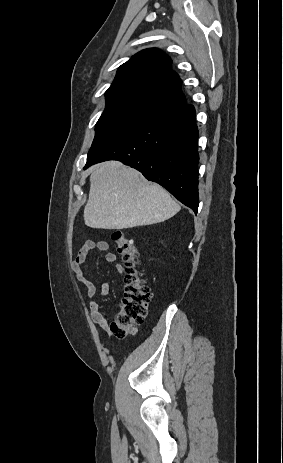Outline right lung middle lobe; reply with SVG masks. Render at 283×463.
<instances>
[{"label": "right lung middle lobe", "instance_id": "dd1d6c3e", "mask_svg": "<svg viewBox=\"0 0 283 463\" xmlns=\"http://www.w3.org/2000/svg\"><path fill=\"white\" fill-rule=\"evenodd\" d=\"M106 109L96 124V134L88 157L124 135L143 125L161 112L142 102L123 95L105 94Z\"/></svg>", "mask_w": 283, "mask_h": 463}]
</instances>
